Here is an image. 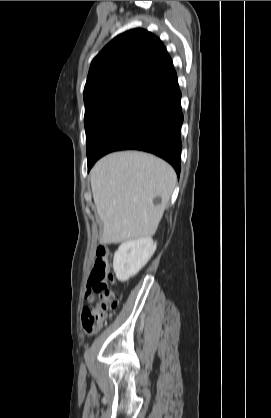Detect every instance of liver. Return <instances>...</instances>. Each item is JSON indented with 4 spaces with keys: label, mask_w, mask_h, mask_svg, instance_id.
I'll return each mask as SVG.
<instances>
[{
    "label": "liver",
    "mask_w": 271,
    "mask_h": 418,
    "mask_svg": "<svg viewBox=\"0 0 271 418\" xmlns=\"http://www.w3.org/2000/svg\"><path fill=\"white\" fill-rule=\"evenodd\" d=\"M176 173L164 160L138 151L100 159L91 170V188L103 222L102 244L152 237L176 185ZM161 197L154 205L153 199Z\"/></svg>",
    "instance_id": "obj_1"
}]
</instances>
